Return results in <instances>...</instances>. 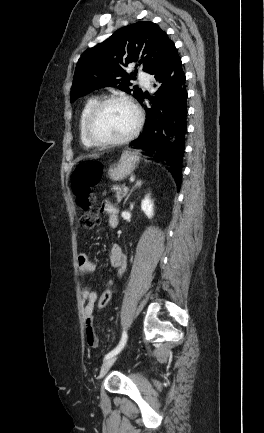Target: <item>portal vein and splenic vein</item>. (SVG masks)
I'll use <instances>...</instances> for the list:
<instances>
[{
	"label": "portal vein and splenic vein",
	"mask_w": 264,
	"mask_h": 433,
	"mask_svg": "<svg viewBox=\"0 0 264 433\" xmlns=\"http://www.w3.org/2000/svg\"><path fill=\"white\" fill-rule=\"evenodd\" d=\"M128 190H129V188H128V187H124V192H125V193H127V192H128Z\"/></svg>",
	"instance_id": "1"
}]
</instances>
